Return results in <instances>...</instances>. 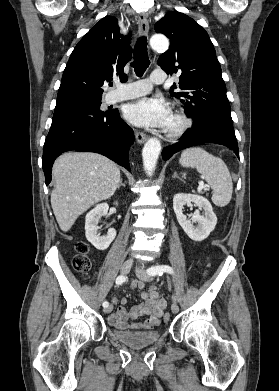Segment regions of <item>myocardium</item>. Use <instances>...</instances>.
<instances>
[{
  "label": "myocardium",
  "mask_w": 279,
  "mask_h": 391,
  "mask_svg": "<svg viewBox=\"0 0 279 391\" xmlns=\"http://www.w3.org/2000/svg\"><path fill=\"white\" fill-rule=\"evenodd\" d=\"M172 118L175 120V125L167 128L166 136L169 139H176L181 137L191 126V120L182 111L176 110L172 114Z\"/></svg>",
  "instance_id": "obj_1"
}]
</instances>
